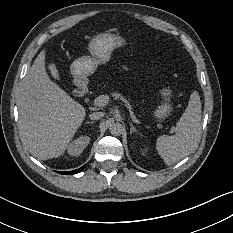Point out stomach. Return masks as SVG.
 <instances>
[{
	"label": "stomach",
	"instance_id": "stomach-1",
	"mask_svg": "<svg viewBox=\"0 0 233 233\" xmlns=\"http://www.w3.org/2000/svg\"><path fill=\"white\" fill-rule=\"evenodd\" d=\"M121 44V38L109 33L96 35L89 43L91 56L76 59L70 68L74 78L84 79L93 74L98 63H105L110 58L114 48ZM167 112L166 107L159 109L160 114Z\"/></svg>",
	"mask_w": 233,
	"mask_h": 233
}]
</instances>
